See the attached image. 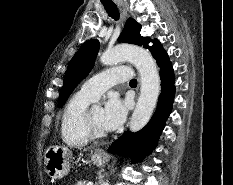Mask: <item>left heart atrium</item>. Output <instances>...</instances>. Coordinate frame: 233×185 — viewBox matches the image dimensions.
<instances>
[{
    "label": "left heart atrium",
    "instance_id": "obj_1",
    "mask_svg": "<svg viewBox=\"0 0 233 185\" xmlns=\"http://www.w3.org/2000/svg\"><path fill=\"white\" fill-rule=\"evenodd\" d=\"M127 105L117 96H111L102 109V125L106 131L117 129L125 120Z\"/></svg>",
    "mask_w": 233,
    "mask_h": 185
}]
</instances>
